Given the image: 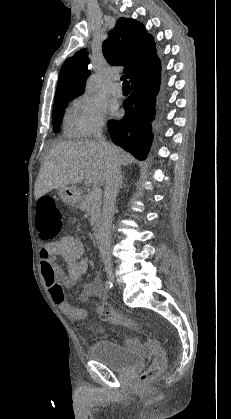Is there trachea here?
<instances>
[{"label": "trachea", "instance_id": "3493384b", "mask_svg": "<svg viewBox=\"0 0 231 419\" xmlns=\"http://www.w3.org/2000/svg\"><path fill=\"white\" fill-rule=\"evenodd\" d=\"M127 78H128V76H127V75H123V76L121 77V80L123 81V87H124V88H129V87H130L129 82L127 81Z\"/></svg>", "mask_w": 231, "mask_h": 419}]
</instances>
